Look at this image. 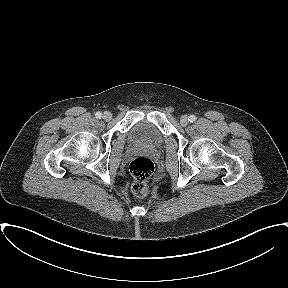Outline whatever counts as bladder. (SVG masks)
<instances>
[{
	"mask_svg": "<svg viewBox=\"0 0 288 288\" xmlns=\"http://www.w3.org/2000/svg\"><path fill=\"white\" fill-rule=\"evenodd\" d=\"M163 134L153 123L139 121L134 124L129 132V140L137 146L157 148L163 143Z\"/></svg>",
	"mask_w": 288,
	"mask_h": 288,
	"instance_id": "obj_1",
	"label": "bladder"
}]
</instances>
